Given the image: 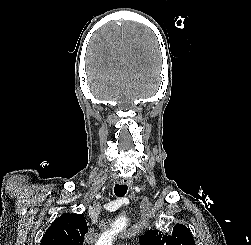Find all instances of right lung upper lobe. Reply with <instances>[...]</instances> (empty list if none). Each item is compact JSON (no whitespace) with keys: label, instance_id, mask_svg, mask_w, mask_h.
Segmentation results:
<instances>
[{"label":"right lung upper lobe","instance_id":"obj_1","mask_svg":"<svg viewBox=\"0 0 251 245\" xmlns=\"http://www.w3.org/2000/svg\"><path fill=\"white\" fill-rule=\"evenodd\" d=\"M87 230L83 215L66 213L55 219L43 235L40 245H83Z\"/></svg>","mask_w":251,"mask_h":245}]
</instances>
